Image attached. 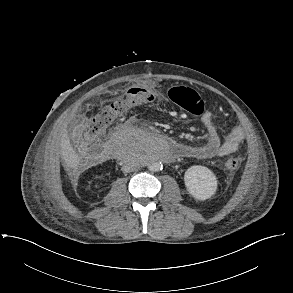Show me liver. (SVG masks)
<instances>
[{"mask_svg": "<svg viewBox=\"0 0 293 293\" xmlns=\"http://www.w3.org/2000/svg\"><path fill=\"white\" fill-rule=\"evenodd\" d=\"M61 140V157L64 161L66 170L76 169L80 163V158L70 144V139L68 137L66 128L63 131Z\"/></svg>", "mask_w": 293, "mask_h": 293, "instance_id": "1", "label": "liver"}]
</instances>
